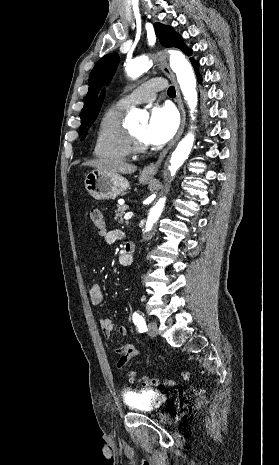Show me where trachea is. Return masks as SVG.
Listing matches in <instances>:
<instances>
[{
	"mask_svg": "<svg viewBox=\"0 0 279 465\" xmlns=\"http://www.w3.org/2000/svg\"><path fill=\"white\" fill-rule=\"evenodd\" d=\"M167 93L170 97H174L176 94L174 86H170Z\"/></svg>",
	"mask_w": 279,
	"mask_h": 465,
	"instance_id": "trachea-1",
	"label": "trachea"
}]
</instances>
